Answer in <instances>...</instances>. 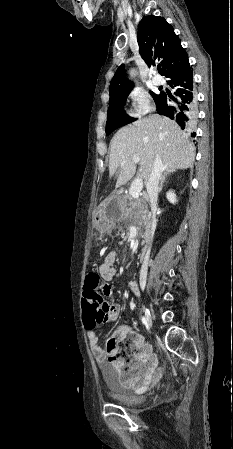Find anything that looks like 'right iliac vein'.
<instances>
[{"instance_id": "right-iliac-vein-1", "label": "right iliac vein", "mask_w": 233, "mask_h": 449, "mask_svg": "<svg viewBox=\"0 0 233 449\" xmlns=\"http://www.w3.org/2000/svg\"><path fill=\"white\" fill-rule=\"evenodd\" d=\"M145 319L147 321L148 326L152 325V316L148 309H145Z\"/></svg>"}]
</instances>
